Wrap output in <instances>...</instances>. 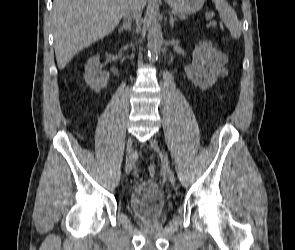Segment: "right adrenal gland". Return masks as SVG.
Segmentation results:
<instances>
[{"label":"right adrenal gland","instance_id":"right-adrenal-gland-1","mask_svg":"<svg viewBox=\"0 0 295 250\" xmlns=\"http://www.w3.org/2000/svg\"><path fill=\"white\" fill-rule=\"evenodd\" d=\"M129 29H130V24L127 21H125L123 25L120 27V31L129 30Z\"/></svg>","mask_w":295,"mask_h":250}]
</instances>
